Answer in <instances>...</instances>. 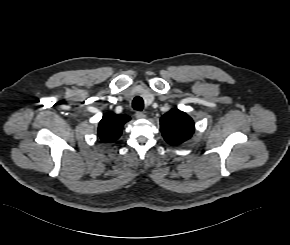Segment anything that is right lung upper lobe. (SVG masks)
<instances>
[{
  "instance_id": "1",
  "label": "right lung upper lobe",
  "mask_w": 290,
  "mask_h": 245,
  "mask_svg": "<svg viewBox=\"0 0 290 245\" xmlns=\"http://www.w3.org/2000/svg\"><path fill=\"white\" fill-rule=\"evenodd\" d=\"M130 120L129 116L106 113L103 115L98 127V136L104 142L117 140L121 133L123 125Z\"/></svg>"
}]
</instances>
